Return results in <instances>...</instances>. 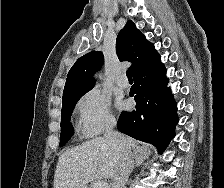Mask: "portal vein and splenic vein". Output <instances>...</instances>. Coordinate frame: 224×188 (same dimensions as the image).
<instances>
[{
    "instance_id": "obj_1",
    "label": "portal vein and splenic vein",
    "mask_w": 224,
    "mask_h": 188,
    "mask_svg": "<svg viewBox=\"0 0 224 188\" xmlns=\"http://www.w3.org/2000/svg\"><path fill=\"white\" fill-rule=\"evenodd\" d=\"M94 188H108V183L103 180L96 181L93 185Z\"/></svg>"
}]
</instances>
